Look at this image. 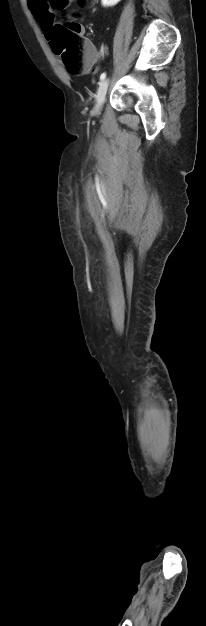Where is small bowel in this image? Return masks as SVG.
<instances>
[{"instance_id":"small-bowel-1","label":"small bowel","mask_w":206,"mask_h":626,"mask_svg":"<svg viewBox=\"0 0 206 626\" xmlns=\"http://www.w3.org/2000/svg\"><path fill=\"white\" fill-rule=\"evenodd\" d=\"M31 7L35 16L42 24L45 38L49 41L52 47V31L55 27L53 24L52 12L48 10L45 0L33 1ZM80 34H85V30L83 28H80ZM85 44L88 50V55L84 63L83 73L88 74L94 70L95 64L104 55L105 48H102L101 50H96L93 44L88 39L85 40Z\"/></svg>"}]
</instances>
